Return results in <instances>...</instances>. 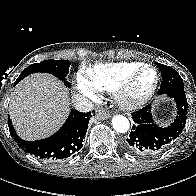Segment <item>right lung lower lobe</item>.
I'll list each match as a JSON object with an SVG mask.
<instances>
[{"label":"right lung lower lobe","mask_w":196,"mask_h":196,"mask_svg":"<svg viewBox=\"0 0 196 196\" xmlns=\"http://www.w3.org/2000/svg\"><path fill=\"white\" fill-rule=\"evenodd\" d=\"M17 83L15 82L14 85ZM95 112L81 113L72 110L64 125L54 135L43 140L25 141L15 132L11 120L8 126L11 136L19 147L27 153L47 160L68 158L74 155L83 146L82 142L87 132L90 118Z\"/></svg>","instance_id":"98d812e1"}]
</instances>
